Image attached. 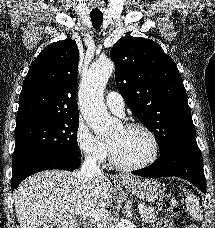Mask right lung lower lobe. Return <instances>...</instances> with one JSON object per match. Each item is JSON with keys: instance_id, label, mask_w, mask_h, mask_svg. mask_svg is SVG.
Masks as SVG:
<instances>
[{"instance_id": "1", "label": "right lung lower lobe", "mask_w": 215, "mask_h": 228, "mask_svg": "<svg viewBox=\"0 0 215 228\" xmlns=\"http://www.w3.org/2000/svg\"><path fill=\"white\" fill-rule=\"evenodd\" d=\"M80 157L67 156L53 152L39 153L22 158L13 163L12 191L29 175L48 169L75 170L80 167Z\"/></svg>"}]
</instances>
